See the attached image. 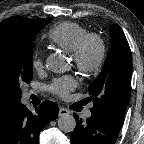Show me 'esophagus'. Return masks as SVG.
Listing matches in <instances>:
<instances>
[{"label":"esophagus","instance_id":"34e87169","mask_svg":"<svg viewBox=\"0 0 144 144\" xmlns=\"http://www.w3.org/2000/svg\"><path fill=\"white\" fill-rule=\"evenodd\" d=\"M68 114H70V111L68 109H66L64 107L59 108V113H58L59 116H65Z\"/></svg>","mask_w":144,"mask_h":144}]
</instances>
